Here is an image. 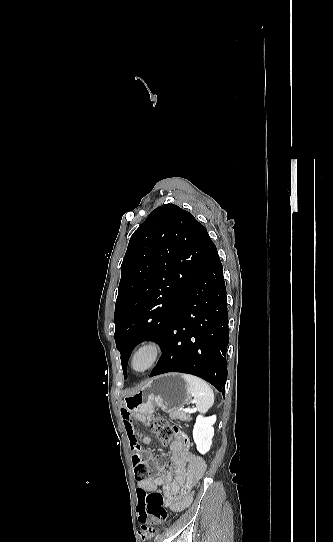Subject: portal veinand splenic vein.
Returning a JSON list of instances; mask_svg holds the SVG:
<instances>
[{
    "mask_svg": "<svg viewBox=\"0 0 333 542\" xmlns=\"http://www.w3.org/2000/svg\"><path fill=\"white\" fill-rule=\"evenodd\" d=\"M183 412H186V414H188V412H195V410H189V408H185V410H183Z\"/></svg>",
    "mask_w": 333,
    "mask_h": 542,
    "instance_id": "portal-vein-and-splenic-vein-1",
    "label": "portal vein and splenic vein"
}]
</instances>
